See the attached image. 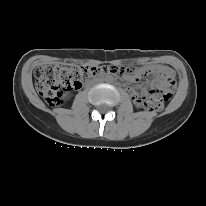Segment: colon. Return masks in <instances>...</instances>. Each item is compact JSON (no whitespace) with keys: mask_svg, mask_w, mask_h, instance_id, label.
I'll return each mask as SVG.
<instances>
[{"mask_svg":"<svg viewBox=\"0 0 206 206\" xmlns=\"http://www.w3.org/2000/svg\"><path fill=\"white\" fill-rule=\"evenodd\" d=\"M99 70L96 68L69 69L56 64L41 67L36 73V87L40 95L49 105L58 103L61 91L79 89L83 82L95 76ZM109 73L136 76L138 70L134 68L110 67ZM175 82L169 78L162 86L153 88L147 96H135L134 102L143 108L160 110L163 103L171 96V89Z\"/></svg>","mask_w":206,"mask_h":206,"instance_id":"5ec220e1","label":"colon"}]
</instances>
